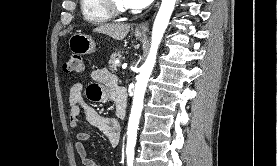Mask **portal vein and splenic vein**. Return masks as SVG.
Here are the masks:
<instances>
[{
	"instance_id": "obj_1",
	"label": "portal vein and splenic vein",
	"mask_w": 277,
	"mask_h": 166,
	"mask_svg": "<svg viewBox=\"0 0 277 166\" xmlns=\"http://www.w3.org/2000/svg\"><path fill=\"white\" fill-rule=\"evenodd\" d=\"M126 68H127V64L124 63V64L122 65V69H126Z\"/></svg>"
}]
</instances>
